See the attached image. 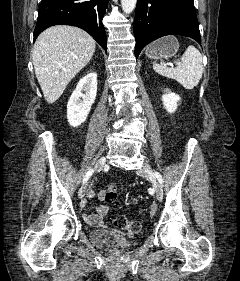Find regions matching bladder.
<instances>
[{
	"mask_svg": "<svg viewBox=\"0 0 240 281\" xmlns=\"http://www.w3.org/2000/svg\"><path fill=\"white\" fill-rule=\"evenodd\" d=\"M89 236L91 241L98 246H116L121 249L135 245L140 237L139 234H126L108 229L93 230Z\"/></svg>",
	"mask_w": 240,
	"mask_h": 281,
	"instance_id": "1",
	"label": "bladder"
}]
</instances>
